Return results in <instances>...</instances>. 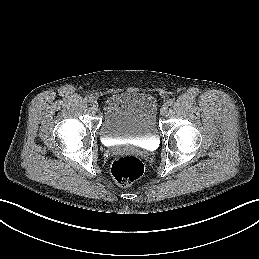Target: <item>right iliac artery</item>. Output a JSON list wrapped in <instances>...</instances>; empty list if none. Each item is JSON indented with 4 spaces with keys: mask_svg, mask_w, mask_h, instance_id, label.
Segmentation results:
<instances>
[{
    "mask_svg": "<svg viewBox=\"0 0 259 259\" xmlns=\"http://www.w3.org/2000/svg\"><path fill=\"white\" fill-rule=\"evenodd\" d=\"M85 101L88 102V103H90V102H92V98L89 97V96H86V97H85Z\"/></svg>",
    "mask_w": 259,
    "mask_h": 259,
    "instance_id": "obj_1",
    "label": "right iliac artery"
}]
</instances>
